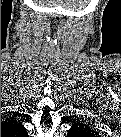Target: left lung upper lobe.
<instances>
[{"mask_svg":"<svg viewBox=\"0 0 121 137\" xmlns=\"http://www.w3.org/2000/svg\"><path fill=\"white\" fill-rule=\"evenodd\" d=\"M80 128L82 129V128H84V126H82L81 124H73L72 125V130H80Z\"/></svg>","mask_w":121,"mask_h":137,"instance_id":"1","label":"left lung upper lobe"}]
</instances>
